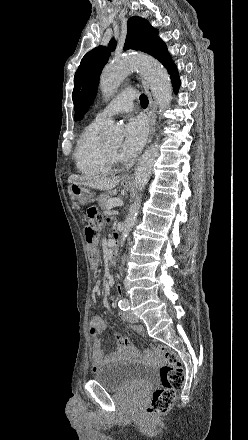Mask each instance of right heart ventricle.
Wrapping results in <instances>:
<instances>
[{
	"label": "right heart ventricle",
	"mask_w": 248,
	"mask_h": 440,
	"mask_svg": "<svg viewBox=\"0 0 248 440\" xmlns=\"http://www.w3.org/2000/svg\"><path fill=\"white\" fill-rule=\"evenodd\" d=\"M102 123L93 121L81 133L74 152L77 170L88 176H102L110 172L106 145L100 137Z\"/></svg>",
	"instance_id": "right-heart-ventricle-1"
}]
</instances>
